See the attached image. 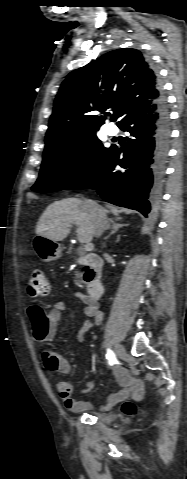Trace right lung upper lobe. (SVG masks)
<instances>
[{"label": "right lung upper lobe", "instance_id": "obj_1", "mask_svg": "<svg viewBox=\"0 0 187 479\" xmlns=\"http://www.w3.org/2000/svg\"><path fill=\"white\" fill-rule=\"evenodd\" d=\"M156 72L137 49L113 50L72 71L62 83L46 133L51 149L96 132L113 111L118 125L162 95Z\"/></svg>", "mask_w": 187, "mask_h": 479}]
</instances>
